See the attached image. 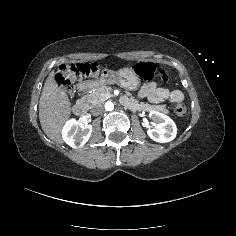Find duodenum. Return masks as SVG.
I'll return each instance as SVG.
<instances>
[{
  "instance_id": "obj_1",
  "label": "duodenum",
  "mask_w": 236,
  "mask_h": 236,
  "mask_svg": "<svg viewBox=\"0 0 236 236\" xmlns=\"http://www.w3.org/2000/svg\"><path fill=\"white\" fill-rule=\"evenodd\" d=\"M95 84V81H82L78 84V91L84 92L88 89H90ZM87 106L83 99L79 98L76 100V102L72 106V111L75 115L81 116L86 113Z\"/></svg>"
}]
</instances>
